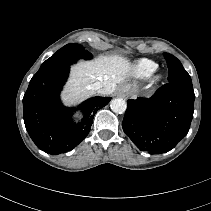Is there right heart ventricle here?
<instances>
[{
    "instance_id": "1",
    "label": "right heart ventricle",
    "mask_w": 211,
    "mask_h": 211,
    "mask_svg": "<svg viewBox=\"0 0 211 211\" xmlns=\"http://www.w3.org/2000/svg\"><path fill=\"white\" fill-rule=\"evenodd\" d=\"M158 68V64L150 59H141L133 67V75L139 79L151 76Z\"/></svg>"
}]
</instances>
